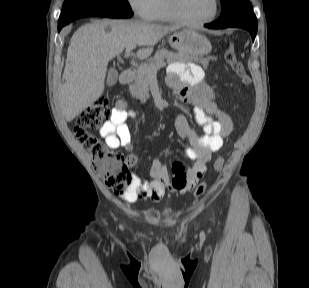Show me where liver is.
<instances>
[{"instance_id":"1","label":"liver","mask_w":309,"mask_h":288,"mask_svg":"<svg viewBox=\"0 0 309 288\" xmlns=\"http://www.w3.org/2000/svg\"><path fill=\"white\" fill-rule=\"evenodd\" d=\"M176 29L131 20L95 21L77 29L68 47L64 83L58 94L65 119L71 122L102 95L110 60L137 45L146 47L137 51V57L147 58L153 46Z\"/></svg>"}]
</instances>
